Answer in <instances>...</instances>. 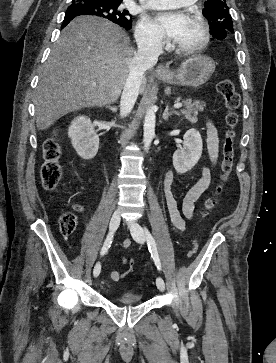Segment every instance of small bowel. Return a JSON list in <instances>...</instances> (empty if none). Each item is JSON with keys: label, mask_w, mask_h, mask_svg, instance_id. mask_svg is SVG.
<instances>
[{"label": "small bowel", "mask_w": 276, "mask_h": 363, "mask_svg": "<svg viewBox=\"0 0 276 363\" xmlns=\"http://www.w3.org/2000/svg\"><path fill=\"white\" fill-rule=\"evenodd\" d=\"M206 132L208 154L212 165L215 166L218 159L219 138L217 128L210 119L206 121ZM82 166H84V164H82ZM173 180V172L171 170L167 171L163 180L166 209L172 229L177 234L182 235L188 229V220H191L196 216L197 211L195 203L209 188L212 181V173L210 168H202L200 179L185 194L180 206L172 191ZM75 209L85 216V226H87L88 222L85 215V208L81 205H75ZM130 244L131 240L127 238L118 243V247L127 248L130 246ZM122 261L123 263H126L127 260L125 257H123ZM121 276H123V274H120L116 271H111L108 273V277L113 281H118Z\"/></svg>", "instance_id": "1"}]
</instances>
